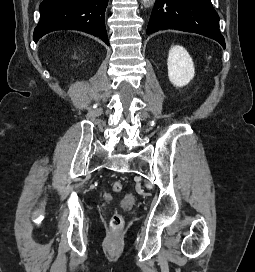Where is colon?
<instances>
[{"instance_id": "5ec220e1", "label": "colon", "mask_w": 255, "mask_h": 272, "mask_svg": "<svg viewBox=\"0 0 255 272\" xmlns=\"http://www.w3.org/2000/svg\"><path fill=\"white\" fill-rule=\"evenodd\" d=\"M123 188L121 181H115L112 184V189L114 192H120ZM124 225V218L120 213H114L110 219V226L113 229H120Z\"/></svg>"}]
</instances>
